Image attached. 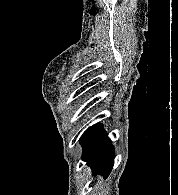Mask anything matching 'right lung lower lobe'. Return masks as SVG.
Here are the masks:
<instances>
[{
	"instance_id": "obj_1",
	"label": "right lung lower lobe",
	"mask_w": 178,
	"mask_h": 195,
	"mask_svg": "<svg viewBox=\"0 0 178 195\" xmlns=\"http://www.w3.org/2000/svg\"><path fill=\"white\" fill-rule=\"evenodd\" d=\"M82 160L93 168V175L107 178L114 164V149L107 133L98 123L89 127L81 136Z\"/></svg>"
}]
</instances>
